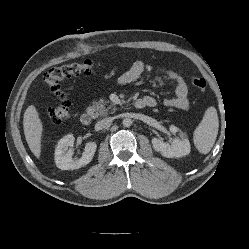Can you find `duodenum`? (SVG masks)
Returning <instances> with one entry per match:
<instances>
[{
	"label": "duodenum",
	"mask_w": 249,
	"mask_h": 249,
	"mask_svg": "<svg viewBox=\"0 0 249 249\" xmlns=\"http://www.w3.org/2000/svg\"><path fill=\"white\" fill-rule=\"evenodd\" d=\"M135 107H136L137 109L145 108V107H146V103H145L144 100L138 99V100L135 102ZM91 121H92V113H91V112L86 111V112H84V113L81 114V116H80V122H81L83 125L87 126V125H89V124L91 123Z\"/></svg>",
	"instance_id": "obj_1"
}]
</instances>
